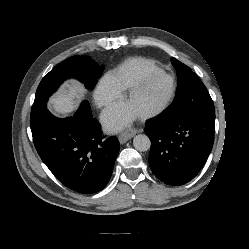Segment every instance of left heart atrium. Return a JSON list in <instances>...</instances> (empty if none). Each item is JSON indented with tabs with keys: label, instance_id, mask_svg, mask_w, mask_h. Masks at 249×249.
Masks as SVG:
<instances>
[{
	"label": "left heart atrium",
	"instance_id": "39dd6f15",
	"mask_svg": "<svg viewBox=\"0 0 249 249\" xmlns=\"http://www.w3.org/2000/svg\"><path fill=\"white\" fill-rule=\"evenodd\" d=\"M135 118L136 114L126 104L116 105L104 114V121L112 130L127 126Z\"/></svg>",
	"mask_w": 249,
	"mask_h": 249
}]
</instances>
